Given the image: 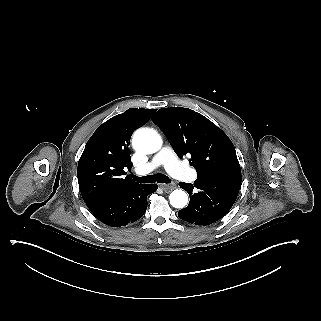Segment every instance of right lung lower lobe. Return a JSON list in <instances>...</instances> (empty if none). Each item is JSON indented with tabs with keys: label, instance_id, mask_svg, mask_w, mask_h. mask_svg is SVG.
Wrapping results in <instances>:
<instances>
[{
	"label": "right lung lower lobe",
	"instance_id": "obj_1",
	"mask_svg": "<svg viewBox=\"0 0 321 321\" xmlns=\"http://www.w3.org/2000/svg\"><path fill=\"white\" fill-rule=\"evenodd\" d=\"M157 190L156 184H138L119 194L86 203L93 215L112 227L125 226L140 219L147 209V196Z\"/></svg>",
	"mask_w": 321,
	"mask_h": 321
}]
</instances>
